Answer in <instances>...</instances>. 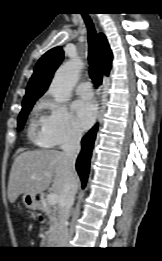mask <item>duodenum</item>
<instances>
[{"label":"duodenum","mask_w":162,"mask_h":261,"mask_svg":"<svg viewBox=\"0 0 162 261\" xmlns=\"http://www.w3.org/2000/svg\"><path fill=\"white\" fill-rule=\"evenodd\" d=\"M35 200H36L37 206L41 207L42 202H43V197L41 195H36Z\"/></svg>","instance_id":"obj_1"}]
</instances>
